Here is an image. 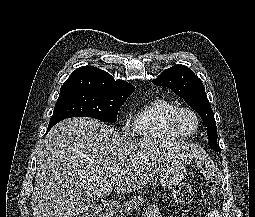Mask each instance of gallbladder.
I'll use <instances>...</instances> for the list:
<instances>
[{"instance_id": "bac80fb5", "label": "gallbladder", "mask_w": 255, "mask_h": 217, "mask_svg": "<svg viewBox=\"0 0 255 217\" xmlns=\"http://www.w3.org/2000/svg\"><path fill=\"white\" fill-rule=\"evenodd\" d=\"M96 208V203L91 198L83 197L78 202L73 217H89L94 214Z\"/></svg>"}]
</instances>
